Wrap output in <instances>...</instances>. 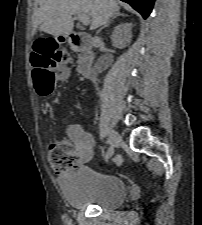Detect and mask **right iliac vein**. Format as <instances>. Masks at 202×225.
Segmentation results:
<instances>
[{"mask_svg":"<svg viewBox=\"0 0 202 225\" xmlns=\"http://www.w3.org/2000/svg\"><path fill=\"white\" fill-rule=\"evenodd\" d=\"M109 142H110V153L114 152V148L121 142L120 135L112 130L109 134Z\"/></svg>","mask_w":202,"mask_h":225,"instance_id":"63e3f726","label":"right iliac vein"}]
</instances>
